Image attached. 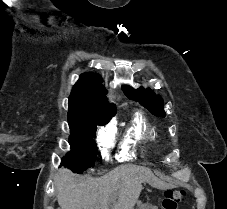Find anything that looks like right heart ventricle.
<instances>
[{"label":"right heart ventricle","instance_id":"obj_1","mask_svg":"<svg viewBox=\"0 0 227 209\" xmlns=\"http://www.w3.org/2000/svg\"><path fill=\"white\" fill-rule=\"evenodd\" d=\"M160 139L159 130L150 124L141 113L131 116L129 125L119 144L116 159L118 161H130L136 158V148L144 142L156 143Z\"/></svg>","mask_w":227,"mask_h":209}]
</instances>
